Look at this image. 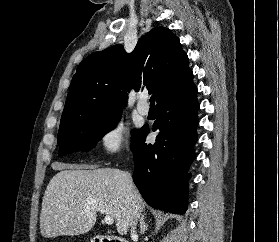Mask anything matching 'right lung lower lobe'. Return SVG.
<instances>
[{"label":"right lung lower lobe","instance_id":"98d812e1","mask_svg":"<svg viewBox=\"0 0 279 242\" xmlns=\"http://www.w3.org/2000/svg\"><path fill=\"white\" fill-rule=\"evenodd\" d=\"M197 88L157 105L153 131L160 130L154 145L146 144L148 126H143L132 141L133 181L144 200L156 209L183 214L187 209L186 170L195 159L197 141Z\"/></svg>","mask_w":279,"mask_h":242}]
</instances>
